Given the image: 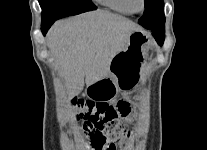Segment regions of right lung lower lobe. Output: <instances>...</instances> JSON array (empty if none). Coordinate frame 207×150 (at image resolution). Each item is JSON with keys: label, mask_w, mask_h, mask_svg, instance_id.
I'll list each match as a JSON object with an SVG mask.
<instances>
[{"label": "right lung lower lobe", "mask_w": 207, "mask_h": 150, "mask_svg": "<svg viewBox=\"0 0 207 150\" xmlns=\"http://www.w3.org/2000/svg\"><path fill=\"white\" fill-rule=\"evenodd\" d=\"M55 21H48V22H42L41 24V30L43 35H45L48 31V29L51 27V25L54 23Z\"/></svg>", "instance_id": "obj_1"}]
</instances>
